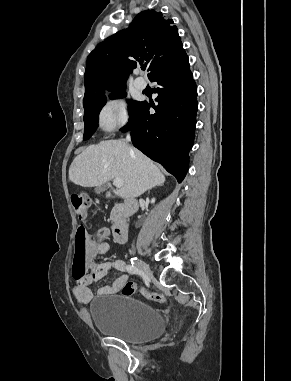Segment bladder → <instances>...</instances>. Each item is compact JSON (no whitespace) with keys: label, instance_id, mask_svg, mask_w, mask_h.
<instances>
[{"label":"bladder","instance_id":"1","mask_svg":"<svg viewBox=\"0 0 291 381\" xmlns=\"http://www.w3.org/2000/svg\"><path fill=\"white\" fill-rule=\"evenodd\" d=\"M90 316L98 331L130 343L152 341L166 329L155 308L129 295L93 298Z\"/></svg>","mask_w":291,"mask_h":381}]
</instances>
